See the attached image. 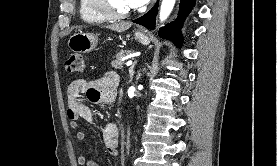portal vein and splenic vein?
I'll list each match as a JSON object with an SVG mask.
<instances>
[{
	"label": "portal vein and splenic vein",
	"instance_id": "1",
	"mask_svg": "<svg viewBox=\"0 0 277 166\" xmlns=\"http://www.w3.org/2000/svg\"><path fill=\"white\" fill-rule=\"evenodd\" d=\"M130 65H132V61L131 60L127 61V63H126V66H130Z\"/></svg>",
	"mask_w": 277,
	"mask_h": 166
}]
</instances>
